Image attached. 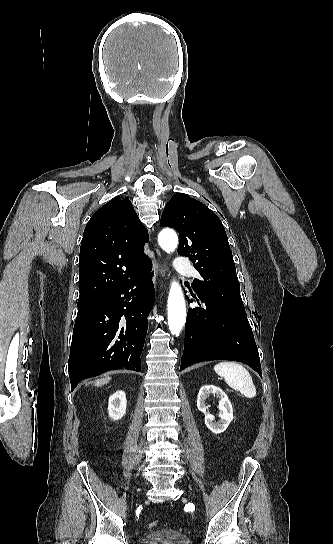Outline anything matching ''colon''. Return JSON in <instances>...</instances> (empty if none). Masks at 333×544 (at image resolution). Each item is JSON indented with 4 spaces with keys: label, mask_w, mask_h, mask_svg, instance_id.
Segmentation results:
<instances>
[{
    "label": "colon",
    "mask_w": 333,
    "mask_h": 544,
    "mask_svg": "<svg viewBox=\"0 0 333 544\" xmlns=\"http://www.w3.org/2000/svg\"><path fill=\"white\" fill-rule=\"evenodd\" d=\"M158 526V522L157 521H151L149 523L146 524V528L148 530H153L155 529L156 527Z\"/></svg>",
    "instance_id": "colon-1"
}]
</instances>
